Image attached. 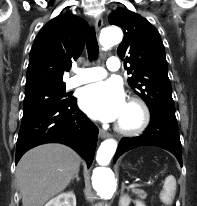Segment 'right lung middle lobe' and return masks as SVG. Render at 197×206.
Segmentation results:
<instances>
[{
  "mask_svg": "<svg viewBox=\"0 0 197 206\" xmlns=\"http://www.w3.org/2000/svg\"><path fill=\"white\" fill-rule=\"evenodd\" d=\"M65 85H46L25 88L23 116L36 113L40 110L57 107L67 103Z\"/></svg>",
  "mask_w": 197,
  "mask_h": 206,
  "instance_id": "1",
  "label": "right lung middle lobe"
}]
</instances>
